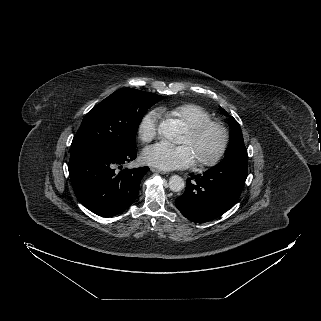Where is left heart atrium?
<instances>
[{
	"label": "left heart atrium",
	"instance_id": "obj_1",
	"mask_svg": "<svg viewBox=\"0 0 321 321\" xmlns=\"http://www.w3.org/2000/svg\"><path fill=\"white\" fill-rule=\"evenodd\" d=\"M144 161L161 170H173L190 166L194 162V156L190 147L186 144L171 145L157 143L147 147L143 152Z\"/></svg>",
	"mask_w": 321,
	"mask_h": 321
}]
</instances>
